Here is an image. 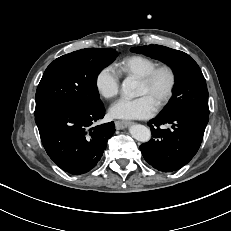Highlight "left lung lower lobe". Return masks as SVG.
<instances>
[{
  "mask_svg": "<svg viewBox=\"0 0 231 231\" xmlns=\"http://www.w3.org/2000/svg\"><path fill=\"white\" fill-rule=\"evenodd\" d=\"M208 121L209 116L194 111L159 114L148 123L153 138L140 146L143 157L159 171L180 169L197 153ZM164 124L170 128L161 129Z\"/></svg>",
  "mask_w": 231,
  "mask_h": 231,
  "instance_id": "obj_1",
  "label": "left lung lower lobe"
}]
</instances>
